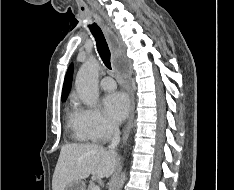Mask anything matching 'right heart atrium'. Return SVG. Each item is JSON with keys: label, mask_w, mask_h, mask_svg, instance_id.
<instances>
[{"label": "right heart atrium", "mask_w": 234, "mask_h": 190, "mask_svg": "<svg viewBox=\"0 0 234 190\" xmlns=\"http://www.w3.org/2000/svg\"><path fill=\"white\" fill-rule=\"evenodd\" d=\"M77 117L81 129L94 141H104L117 130V126L94 107H80Z\"/></svg>", "instance_id": "1"}]
</instances>
